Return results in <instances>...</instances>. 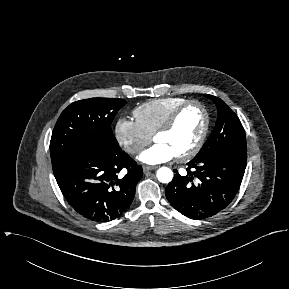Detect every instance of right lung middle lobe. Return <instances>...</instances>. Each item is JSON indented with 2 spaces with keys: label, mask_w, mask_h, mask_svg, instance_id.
Returning a JSON list of instances; mask_svg holds the SVG:
<instances>
[{
  "label": "right lung middle lobe",
  "mask_w": 289,
  "mask_h": 289,
  "mask_svg": "<svg viewBox=\"0 0 289 289\" xmlns=\"http://www.w3.org/2000/svg\"><path fill=\"white\" fill-rule=\"evenodd\" d=\"M127 102L123 99L90 98L70 104L60 115L50 141L53 172L90 148L120 151L111 123Z\"/></svg>",
  "instance_id": "1"
}]
</instances>
